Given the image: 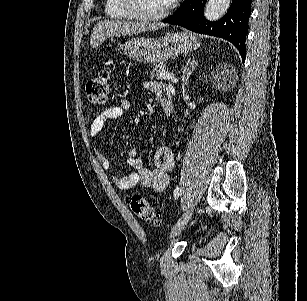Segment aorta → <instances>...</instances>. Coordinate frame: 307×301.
Wrapping results in <instances>:
<instances>
[{"mask_svg": "<svg viewBox=\"0 0 307 301\" xmlns=\"http://www.w3.org/2000/svg\"><path fill=\"white\" fill-rule=\"evenodd\" d=\"M230 2L231 0H208L204 10L207 20H218V18H221L227 12Z\"/></svg>", "mask_w": 307, "mask_h": 301, "instance_id": "aorta-1", "label": "aorta"}]
</instances>
